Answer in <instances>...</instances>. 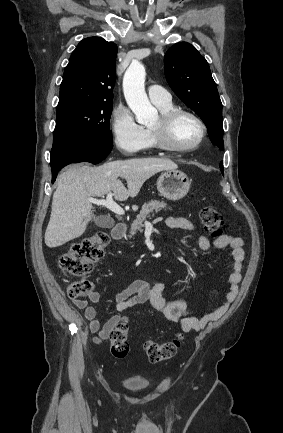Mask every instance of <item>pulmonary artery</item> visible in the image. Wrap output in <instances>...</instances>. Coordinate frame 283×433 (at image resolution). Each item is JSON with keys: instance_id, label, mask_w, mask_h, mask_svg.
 I'll list each match as a JSON object with an SVG mask.
<instances>
[{"instance_id": "obj_1", "label": "pulmonary artery", "mask_w": 283, "mask_h": 433, "mask_svg": "<svg viewBox=\"0 0 283 433\" xmlns=\"http://www.w3.org/2000/svg\"><path fill=\"white\" fill-rule=\"evenodd\" d=\"M150 100L156 105H163L171 102V95L168 91L157 85H150L147 88Z\"/></svg>"}]
</instances>
